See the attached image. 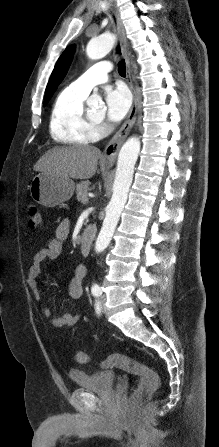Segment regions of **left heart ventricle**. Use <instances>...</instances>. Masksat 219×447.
<instances>
[{
  "mask_svg": "<svg viewBox=\"0 0 219 447\" xmlns=\"http://www.w3.org/2000/svg\"><path fill=\"white\" fill-rule=\"evenodd\" d=\"M89 114L93 119L100 121L104 116V110L102 107L96 108V109L91 110L89 112Z\"/></svg>",
  "mask_w": 219,
  "mask_h": 447,
  "instance_id": "left-heart-ventricle-1",
  "label": "left heart ventricle"
}]
</instances>
